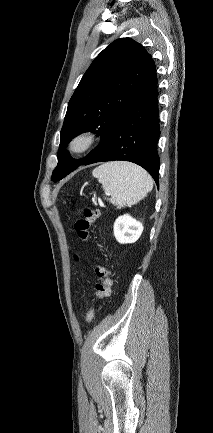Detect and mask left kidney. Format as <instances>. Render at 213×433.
Here are the masks:
<instances>
[{
	"label": "left kidney",
	"mask_w": 213,
	"mask_h": 433,
	"mask_svg": "<svg viewBox=\"0 0 213 433\" xmlns=\"http://www.w3.org/2000/svg\"><path fill=\"white\" fill-rule=\"evenodd\" d=\"M113 231L120 244H131L141 236L143 225L129 214H124L115 220Z\"/></svg>",
	"instance_id": "5707ae66"
}]
</instances>
